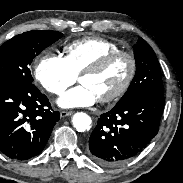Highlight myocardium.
<instances>
[{"label":"myocardium","instance_id":"obj_1","mask_svg":"<svg viewBox=\"0 0 183 183\" xmlns=\"http://www.w3.org/2000/svg\"><path fill=\"white\" fill-rule=\"evenodd\" d=\"M119 57H125L128 60L129 66H130L128 75L124 80V82L122 83V85L117 90H115L114 92H112L111 94L105 97L99 98L98 101L100 103L115 102L118 99H120L128 91L137 72V60L135 56L131 52H128L125 50H117L100 58L95 63H93L92 65L87 67L85 70H83L80 74L79 80L81 77L85 75L97 74L103 71L104 69H106L114 60H116Z\"/></svg>","mask_w":183,"mask_h":183}]
</instances>
